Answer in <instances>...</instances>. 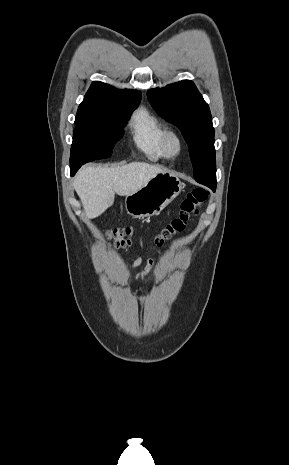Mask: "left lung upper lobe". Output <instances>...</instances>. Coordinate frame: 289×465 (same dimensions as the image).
<instances>
[{"mask_svg": "<svg viewBox=\"0 0 289 465\" xmlns=\"http://www.w3.org/2000/svg\"><path fill=\"white\" fill-rule=\"evenodd\" d=\"M153 108L176 125L189 146L194 178L216 188L214 128L208 104L190 80L148 91Z\"/></svg>", "mask_w": 289, "mask_h": 465, "instance_id": "1", "label": "left lung upper lobe"}]
</instances>
